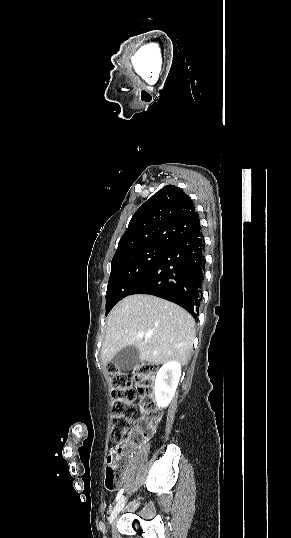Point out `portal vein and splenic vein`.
<instances>
[{
	"instance_id": "obj_1",
	"label": "portal vein and splenic vein",
	"mask_w": 291,
	"mask_h": 538,
	"mask_svg": "<svg viewBox=\"0 0 291 538\" xmlns=\"http://www.w3.org/2000/svg\"><path fill=\"white\" fill-rule=\"evenodd\" d=\"M138 336H139V337H143L144 335H143L142 333H139Z\"/></svg>"
}]
</instances>
